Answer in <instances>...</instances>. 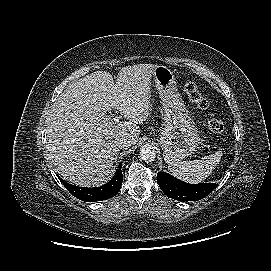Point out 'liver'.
Wrapping results in <instances>:
<instances>
[{
    "label": "liver",
    "instance_id": "1",
    "mask_svg": "<svg viewBox=\"0 0 271 271\" xmlns=\"http://www.w3.org/2000/svg\"><path fill=\"white\" fill-rule=\"evenodd\" d=\"M157 65L122 68L117 80L93 72L67 86L54 103L47 125V149L56 171L78 186H99L112 172L119 148L115 140L140 134L139 123L152 110L150 81ZM117 109L128 121L114 123L106 112Z\"/></svg>",
    "mask_w": 271,
    "mask_h": 271
}]
</instances>
